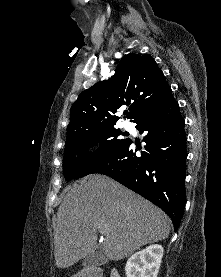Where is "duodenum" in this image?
Listing matches in <instances>:
<instances>
[{"mask_svg":"<svg viewBox=\"0 0 221 277\" xmlns=\"http://www.w3.org/2000/svg\"><path fill=\"white\" fill-rule=\"evenodd\" d=\"M83 277H102V272L98 268H89L83 273ZM110 277H120L117 270L113 269Z\"/></svg>","mask_w":221,"mask_h":277,"instance_id":"duodenum-1","label":"duodenum"}]
</instances>
